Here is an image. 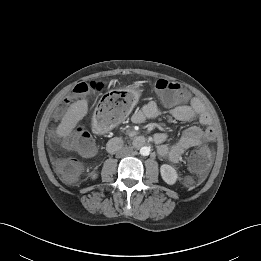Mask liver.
I'll list each match as a JSON object with an SVG mask.
<instances>
[{
    "label": "liver",
    "mask_w": 261,
    "mask_h": 261,
    "mask_svg": "<svg viewBox=\"0 0 261 261\" xmlns=\"http://www.w3.org/2000/svg\"><path fill=\"white\" fill-rule=\"evenodd\" d=\"M87 112L88 102L86 99L72 103L56 129L57 135L59 137L68 136L77 126L78 122L86 116Z\"/></svg>",
    "instance_id": "6515ba94"
}]
</instances>
